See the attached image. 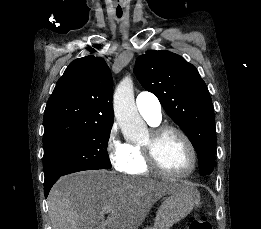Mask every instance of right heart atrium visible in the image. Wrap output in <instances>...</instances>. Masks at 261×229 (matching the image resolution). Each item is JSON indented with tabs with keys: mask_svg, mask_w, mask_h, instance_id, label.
Returning a JSON list of instances; mask_svg holds the SVG:
<instances>
[{
	"mask_svg": "<svg viewBox=\"0 0 261 229\" xmlns=\"http://www.w3.org/2000/svg\"><path fill=\"white\" fill-rule=\"evenodd\" d=\"M119 128L113 123L106 140V152L112 167L119 172H127L131 164L128 144L119 138Z\"/></svg>",
	"mask_w": 261,
	"mask_h": 229,
	"instance_id": "obj_1",
	"label": "right heart atrium"
}]
</instances>
